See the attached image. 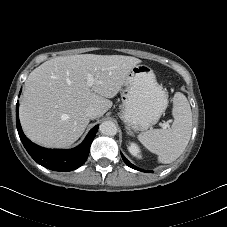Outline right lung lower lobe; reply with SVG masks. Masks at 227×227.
<instances>
[{
	"mask_svg": "<svg viewBox=\"0 0 227 227\" xmlns=\"http://www.w3.org/2000/svg\"><path fill=\"white\" fill-rule=\"evenodd\" d=\"M18 107L16 106V125L19 137L29 153V155L43 167L54 171H72L79 168L88 158L91 143L98 130V125L93 127L85 140L73 149H47L31 142L23 133L18 117Z\"/></svg>",
	"mask_w": 227,
	"mask_h": 227,
	"instance_id": "98d812e1",
	"label": "right lung lower lobe"
}]
</instances>
